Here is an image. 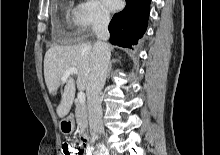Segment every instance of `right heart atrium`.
I'll list each match as a JSON object with an SVG mask.
<instances>
[{
	"label": "right heart atrium",
	"instance_id": "1",
	"mask_svg": "<svg viewBox=\"0 0 220 155\" xmlns=\"http://www.w3.org/2000/svg\"><path fill=\"white\" fill-rule=\"evenodd\" d=\"M74 22L79 33L89 34L105 28L110 15L98 0H84L75 8Z\"/></svg>",
	"mask_w": 220,
	"mask_h": 155
}]
</instances>
